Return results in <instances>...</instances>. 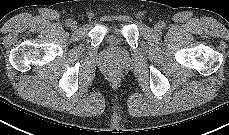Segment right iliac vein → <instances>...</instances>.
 Here are the masks:
<instances>
[{"instance_id": "63e3f726", "label": "right iliac vein", "mask_w": 229, "mask_h": 135, "mask_svg": "<svg viewBox=\"0 0 229 135\" xmlns=\"http://www.w3.org/2000/svg\"><path fill=\"white\" fill-rule=\"evenodd\" d=\"M70 27L73 28V29H75L77 27V22L71 20Z\"/></svg>"}]
</instances>
